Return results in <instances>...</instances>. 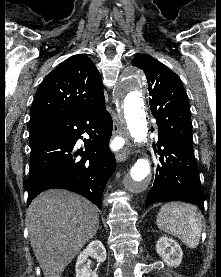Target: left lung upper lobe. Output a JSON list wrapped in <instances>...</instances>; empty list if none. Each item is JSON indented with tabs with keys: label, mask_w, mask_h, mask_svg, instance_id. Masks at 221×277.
I'll return each mask as SVG.
<instances>
[{
	"label": "left lung upper lobe",
	"mask_w": 221,
	"mask_h": 277,
	"mask_svg": "<svg viewBox=\"0 0 221 277\" xmlns=\"http://www.w3.org/2000/svg\"><path fill=\"white\" fill-rule=\"evenodd\" d=\"M132 65L146 75L150 109L158 130L193 149L190 106L181 79L148 54L136 55Z\"/></svg>",
	"instance_id": "left-lung-upper-lobe-1"
}]
</instances>
